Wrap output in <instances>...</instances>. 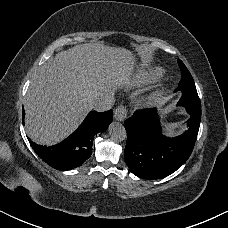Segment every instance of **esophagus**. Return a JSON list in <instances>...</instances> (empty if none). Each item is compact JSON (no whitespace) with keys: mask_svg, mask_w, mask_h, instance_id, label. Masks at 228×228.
Here are the masks:
<instances>
[{"mask_svg":"<svg viewBox=\"0 0 228 228\" xmlns=\"http://www.w3.org/2000/svg\"><path fill=\"white\" fill-rule=\"evenodd\" d=\"M127 109L125 106H119L116 110H115V119L117 121H124L127 117Z\"/></svg>","mask_w":228,"mask_h":228,"instance_id":"esophagus-1","label":"esophagus"}]
</instances>
